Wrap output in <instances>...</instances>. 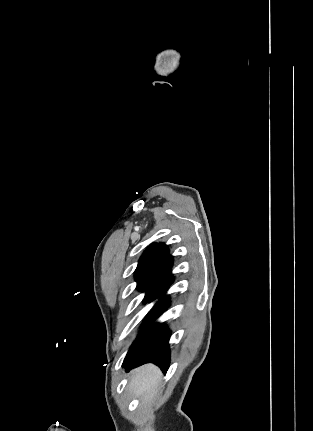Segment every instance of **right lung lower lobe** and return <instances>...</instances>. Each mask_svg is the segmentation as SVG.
Segmentation results:
<instances>
[{"label":"right lung lower lobe","mask_w":313,"mask_h":431,"mask_svg":"<svg viewBox=\"0 0 313 431\" xmlns=\"http://www.w3.org/2000/svg\"><path fill=\"white\" fill-rule=\"evenodd\" d=\"M173 278L169 279L156 293L149 299L154 300L161 297L155 304L153 312L144 320L143 330L130 347L123 362V367L127 370L135 368L145 363H154L166 373L169 368L170 352L169 337L170 331L165 324L154 323V320L165 311L169 305L167 296L164 293L172 284Z\"/></svg>","instance_id":"right-lung-lower-lobe-1"}]
</instances>
